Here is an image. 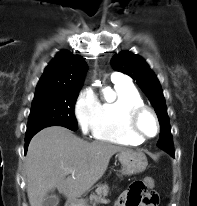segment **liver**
I'll use <instances>...</instances> for the list:
<instances>
[{"label": "liver", "mask_w": 197, "mask_h": 206, "mask_svg": "<svg viewBox=\"0 0 197 206\" xmlns=\"http://www.w3.org/2000/svg\"><path fill=\"white\" fill-rule=\"evenodd\" d=\"M127 150L87 142L60 126L41 130L30 142L24 165L30 206H42L54 189L69 201L76 200L103 176L115 153Z\"/></svg>", "instance_id": "6515ba94"}]
</instances>
